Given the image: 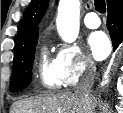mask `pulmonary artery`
<instances>
[{
	"instance_id": "1",
	"label": "pulmonary artery",
	"mask_w": 123,
	"mask_h": 113,
	"mask_svg": "<svg viewBox=\"0 0 123 113\" xmlns=\"http://www.w3.org/2000/svg\"><path fill=\"white\" fill-rule=\"evenodd\" d=\"M84 24L90 29H96L100 26L101 21L96 12H88L84 17Z\"/></svg>"
}]
</instances>
